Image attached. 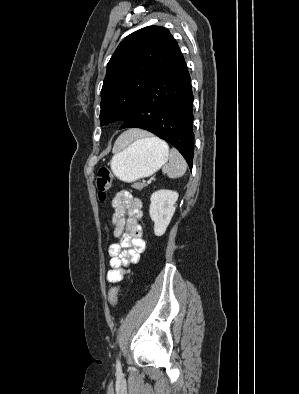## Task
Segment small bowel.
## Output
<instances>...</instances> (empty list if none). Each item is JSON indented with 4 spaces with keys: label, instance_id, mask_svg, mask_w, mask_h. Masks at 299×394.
<instances>
[{
    "label": "small bowel",
    "instance_id": "obj_1",
    "mask_svg": "<svg viewBox=\"0 0 299 394\" xmlns=\"http://www.w3.org/2000/svg\"><path fill=\"white\" fill-rule=\"evenodd\" d=\"M142 202L128 191L122 190L112 200L113 216L111 225L113 237L119 238L108 248L111 270L107 274L110 283H118L127 273L126 268L136 263L144 252L146 242L140 224Z\"/></svg>",
    "mask_w": 299,
    "mask_h": 394
}]
</instances>
